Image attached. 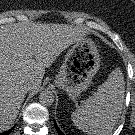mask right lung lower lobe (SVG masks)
<instances>
[{
  "mask_svg": "<svg viewBox=\"0 0 135 135\" xmlns=\"http://www.w3.org/2000/svg\"><path fill=\"white\" fill-rule=\"evenodd\" d=\"M11 131H12V129H10V130H8V131H6V132H4V133H2L0 135H9Z\"/></svg>",
  "mask_w": 135,
  "mask_h": 135,
  "instance_id": "obj_1",
  "label": "right lung lower lobe"
}]
</instances>
